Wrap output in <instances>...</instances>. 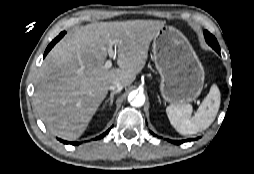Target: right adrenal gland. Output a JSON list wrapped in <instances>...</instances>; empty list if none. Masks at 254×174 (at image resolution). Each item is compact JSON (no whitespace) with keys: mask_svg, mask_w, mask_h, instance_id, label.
<instances>
[{"mask_svg":"<svg viewBox=\"0 0 254 174\" xmlns=\"http://www.w3.org/2000/svg\"><path fill=\"white\" fill-rule=\"evenodd\" d=\"M117 94V92H112L110 94V97L105 101L103 108L107 105V103L109 102V106L111 107L113 104V100H114V95Z\"/></svg>","mask_w":254,"mask_h":174,"instance_id":"2a0ac1e0","label":"right adrenal gland"}]
</instances>
